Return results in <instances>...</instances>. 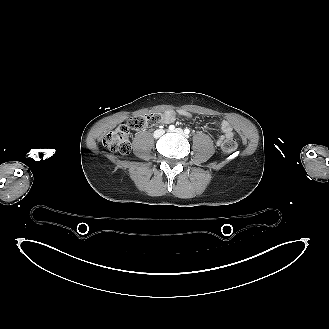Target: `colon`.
<instances>
[{"label":"colon","mask_w":329,"mask_h":329,"mask_svg":"<svg viewBox=\"0 0 329 329\" xmlns=\"http://www.w3.org/2000/svg\"><path fill=\"white\" fill-rule=\"evenodd\" d=\"M164 120V114L146 113L129 118L119 123L113 130L103 137L104 145L111 151L128 156L131 152L130 130L140 131L148 127L160 124ZM237 147V140L234 137L227 138L221 145L224 154H231Z\"/></svg>","instance_id":"1"}]
</instances>
